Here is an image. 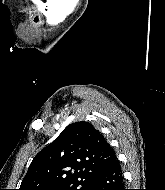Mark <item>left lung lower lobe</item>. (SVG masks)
I'll return each mask as SVG.
<instances>
[{"instance_id": "obj_1", "label": "left lung lower lobe", "mask_w": 165, "mask_h": 190, "mask_svg": "<svg viewBox=\"0 0 165 190\" xmlns=\"http://www.w3.org/2000/svg\"><path fill=\"white\" fill-rule=\"evenodd\" d=\"M89 190H125L117 157L96 176Z\"/></svg>"}]
</instances>
